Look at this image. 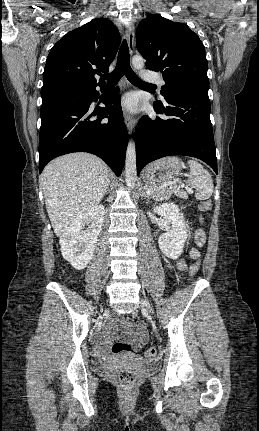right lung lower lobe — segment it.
Listing matches in <instances>:
<instances>
[{
    "label": "right lung lower lobe",
    "instance_id": "1",
    "mask_svg": "<svg viewBox=\"0 0 259 431\" xmlns=\"http://www.w3.org/2000/svg\"><path fill=\"white\" fill-rule=\"evenodd\" d=\"M101 90L104 85H99ZM119 88L106 96V107H90L97 101L96 87L69 90L42 98L39 139V172L52 159L72 152L97 155L119 176L128 143ZM98 115L97 118L93 116ZM109 115V116H108Z\"/></svg>",
    "mask_w": 259,
    "mask_h": 431
}]
</instances>
